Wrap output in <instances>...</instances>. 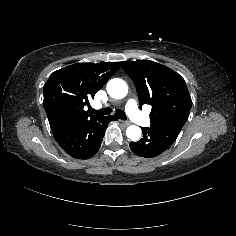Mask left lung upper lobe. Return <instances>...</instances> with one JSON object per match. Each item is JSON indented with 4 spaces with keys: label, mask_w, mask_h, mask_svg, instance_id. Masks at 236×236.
Here are the masks:
<instances>
[{
    "label": "left lung upper lobe",
    "mask_w": 236,
    "mask_h": 236,
    "mask_svg": "<svg viewBox=\"0 0 236 236\" xmlns=\"http://www.w3.org/2000/svg\"><path fill=\"white\" fill-rule=\"evenodd\" d=\"M121 66L137 88L140 108L152 106L151 126L181 131L192 106L182 76L150 60L124 61Z\"/></svg>",
    "instance_id": "obj_1"
}]
</instances>
